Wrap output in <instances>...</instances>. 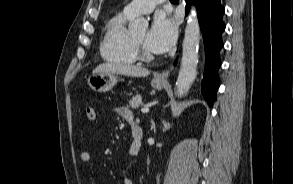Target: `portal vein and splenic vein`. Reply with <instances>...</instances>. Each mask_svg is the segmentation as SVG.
Here are the masks:
<instances>
[{"instance_id":"18ae733b","label":"portal vein and splenic vein","mask_w":293,"mask_h":184,"mask_svg":"<svg viewBox=\"0 0 293 184\" xmlns=\"http://www.w3.org/2000/svg\"><path fill=\"white\" fill-rule=\"evenodd\" d=\"M149 112V108L148 107H144L141 109V113H148Z\"/></svg>"}]
</instances>
